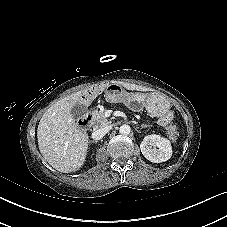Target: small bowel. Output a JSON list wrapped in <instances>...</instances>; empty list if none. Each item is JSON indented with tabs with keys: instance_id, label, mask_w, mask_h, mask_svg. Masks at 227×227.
<instances>
[{
	"instance_id": "1",
	"label": "small bowel",
	"mask_w": 227,
	"mask_h": 227,
	"mask_svg": "<svg viewBox=\"0 0 227 227\" xmlns=\"http://www.w3.org/2000/svg\"><path fill=\"white\" fill-rule=\"evenodd\" d=\"M94 93H99V90H94ZM169 121H170V115L169 114H166V115H163L162 117H160L159 124L162 125V126H164Z\"/></svg>"
}]
</instances>
